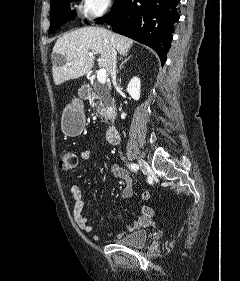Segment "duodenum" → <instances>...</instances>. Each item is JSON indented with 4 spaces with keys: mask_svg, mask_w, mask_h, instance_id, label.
<instances>
[{
    "mask_svg": "<svg viewBox=\"0 0 240 281\" xmlns=\"http://www.w3.org/2000/svg\"><path fill=\"white\" fill-rule=\"evenodd\" d=\"M84 94L87 95L88 92L84 91ZM106 139L111 144H116L119 142L120 136L116 126L111 125L106 130Z\"/></svg>",
    "mask_w": 240,
    "mask_h": 281,
    "instance_id": "1",
    "label": "duodenum"
}]
</instances>
